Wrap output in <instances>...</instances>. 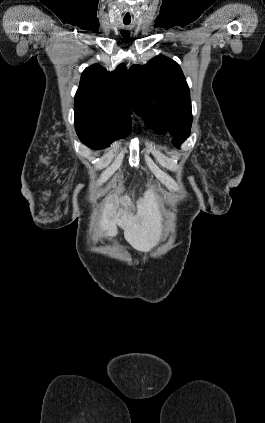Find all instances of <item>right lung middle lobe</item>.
Returning <instances> with one entry per match:
<instances>
[{
  "instance_id": "dd1d6c3e",
  "label": "right lung middle lobe",
  "mask_w": 265,
  "mask_h": 423,
  "mask_svg": "<svg viewBox=\"0 0 265 423\" xmlns=\"http://www.w3.org/2000/svg\"><path fill=\"white\" fill-rule=\"evenodd\" d=\"M131 119L120 123L106 122L98 117L75 113V129L80 140L90 148H104L131 131Z\"/></svg>"
}]
</instances>
